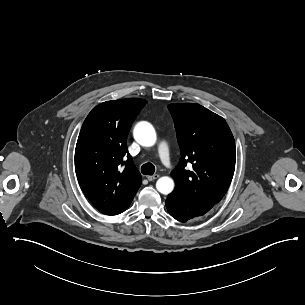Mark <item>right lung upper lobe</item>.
I'll use <instances>...</instances> for the list:
<instances>
[{"label":"right lung upper lobe","mask_w":305,"mask_h":305,"mask_svg":"<svg viewBox=\"0 0 305 305\" xmlns=\"http://www.w3.org/2000/svg\"><path fill=\"white\" fill-rule=\"evenodd\" d=\"M147 103L121 99L97 105L85 119L75 149V171L82 191L103 214L132 201L142 178L128 154L131 124Z\"/></svg>","instance_id":"cb5924a9"}]
</instances>
